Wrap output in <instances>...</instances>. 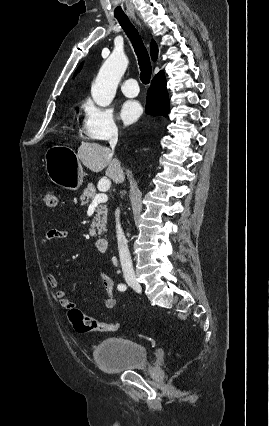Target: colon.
Instances as JSON below:
<instances>
[{"mask_svg": "<svg viewBox=\"0 0 269 426\" xmlns=\"http://www.w3.org/2000/svg\"><path fill=\"white\" fill-rule=\"evenodd\" d=\"M45 206L55 208L58 205V195L55 190H48L42 196ZM74 329L77 332H114L119 329V324L96 320L86 316L80 309L71 307L68 313Z\"/></svg>", "mask_w": 269, "mask_h": 426, "instance_id": "1", "label": "colon"}]
</instances>
